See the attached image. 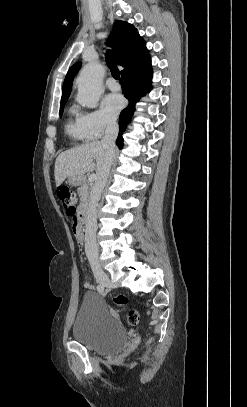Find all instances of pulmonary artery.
Returning <instances> with one entry per match:
<instances>
[{
	"label": "pulmonary artery",
	"instance_id": "obj_1",
	"mask_svg": "<svg viewBox=\"0 0 247 407\" xmlns=\"http://www.w3.org/2000/svg\"><path fill=\"white\" fill-rule=\"evenodd\" d=\"M106 86L112 91H118L120 89V85L118 84V82L112 78L106 81Z\"/></svg>",
	"mask_w": 247,
	"mask_h": 407
}]
</instances>
